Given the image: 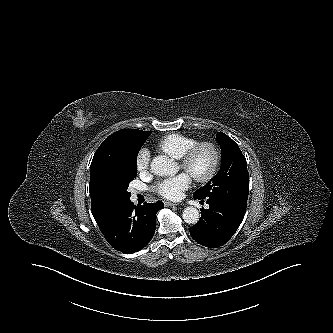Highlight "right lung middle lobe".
<instances>
[{
  "label": "right lung middle lobe",
  "mask_w": 333,
  "mask_h": 333,
  "mask_svg": "<svg viewBox=\"0 0 333 333\" xmlns=\"http://www.w3.org/2000/svg\"><path fill=\"white\" fill-rule=\"evenodd\" d=\"M144 142L145 139L129 145L113 160L108 169L107 186L116 202L130 199L131 193L127 188L137 175V155Z\"/></svg>",
  "instance_id": "obj_1"
}]
</instances>
